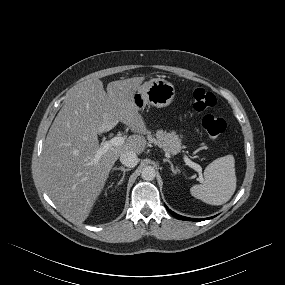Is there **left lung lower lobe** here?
<instances>
[{"mask_svg":"<svg viewBox=\"0 0 285 285\" xmlns=\"http://www.w3.org/2000/svg\"><path fill=\"white\" fill-rule=\"evenodd\" d=\"M165 207L168 209L167 206H165ZM168 211H169L174 217H176L177 219L186 220V221H201V220H206V219H211V218H213V217H210V218H206V219H193V218H188V217H184V216L178 215V214L174 213L173 211H171L170 209H168Z\"/></svg>","mask_w":285,"mask_h":285,"instance_id":"left-lung-lower-lobe-1","label":"left lung lower lobe"}]
</instances>
